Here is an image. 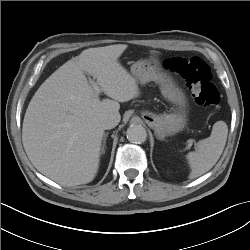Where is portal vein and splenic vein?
Here are the masks:
<instances>
[{"mask_svg": "<svg viewBox=\"0 0 250 250\" xmlns=\"http://www.w3.org/2000/svg\"><path fill=\"white\" fill-rule=\"evenodd\" d=\"M91 84H92L93 88L95 89V91L99 93V92H100V89H99L97 83L94 82V81H92Z\"/></svg>", "mask_w": 250, "mask_h": 250, "instance_id": "18ae733b", "label": "portal vein and splenic vein"}]
</instances>
